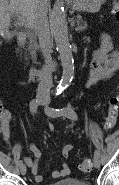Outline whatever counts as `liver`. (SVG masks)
Here are the masks:
<instances>
[{
  "label": "liver",
  "instance_id": "liver-1",
  "mask_svg": "<svg viewBox=\"0 0 119 185\" xmlns=\"http://www.w3.org/2000/svg\"><path fill=\"white\" fill-rule=\"evenodd\" d=\"M40 3L41 0H0V34L8 30L11 15L14 13L21 14V21L27 28H34L35 15Z\"/></svg>",
  "mask_w": 119,
  "mask_h": 185
}]
</instances>
